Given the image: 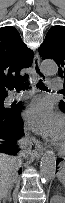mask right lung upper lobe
<instances>
[{
  "instance_id": "right-lung-upper-lobe-1",
  "label": "right lung upper lobe",
  "mask_w": 65,
  "mask_h": 203,
  "mask_svg": "<svg viewBox=\"0 0 65 203\" xmlns=\"http://www.w3.org/2000/svg\"><path fill=\"white\" fill-rule=\"evenodd\" d=\"M32 62L33 51L23 43L19 32L12 26L0 28V96L28 77H22L20 71Z\"/></svg>"
}]
</instances>
